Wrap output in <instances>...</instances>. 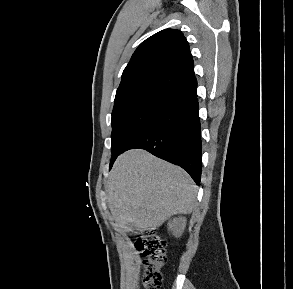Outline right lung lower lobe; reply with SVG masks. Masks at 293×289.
Masks as SVG:
<instances>
[{"label":"right lung lower lobe","instance_id":"1","mask_svg":"<svg viewBox=\"0 0 293 289\" xmlns=\"http://www.w3.org/2000/svg\"><path fill=\"white\" fill-rule=\"evenodd\" d=\"M198 111L197 96L177 105L151 123L123 149L112 155L110 167L120 153L141 148L179 165L199 184L202 143Z\"/></svg>","mask_w":293,"mask_h":289}]
</instances>
